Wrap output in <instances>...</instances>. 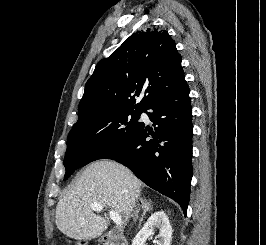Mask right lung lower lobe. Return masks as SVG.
Listing matches in <instances>:
<instances>
[{
  "label": "right lung lower lobe",
  "mask_w": 266,
  "mask_h": 245,
  "mask_svg": "<svg viewBox=\"0 0 266 245\" xmlns=\"http://www.w3.org/2000/svg\"><path fill=\"white\" fill-rule=\"evenodd\" d=\"M145 113L154 130L144 123L120 150L104 159L128 167L149 187L176 201L186 215L192 178V108L184 80L158 96ZM145 109V110H146ZM157 125V127H155ZM153 139H148L149 137Z\"/></svg>",
  "instance_id": "1"
}]
</instances>
